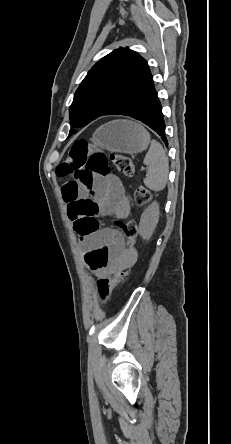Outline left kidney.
Masks as SVG:
<instances>
[{
	"mask_svg": "<svg viewBox=\"0 0 231 444\" xmlns=\"http://www.w3.org/2000/svg\"><path fill=\"white\" fill-rule=\"evenodd\" d=\"M159 220V205L157 202H153L149 207L145 209L141 215L139 223V234L145 239L149 240L157 226Z\"/></svg>",
	"mask_w": 231,
	"mask_h": 444,
	"instance_id": "1",
	"label": "left kidney"
}]
</instances>
